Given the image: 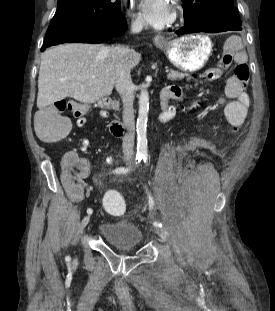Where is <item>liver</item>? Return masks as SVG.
I'll list each match as a JSON object with an SVG mask.
<instances>
[{"label": "liver", "instance_id": "6515ba94", "mask_svg": "<svg viewBox=\"0 0 275 311\" xmlns=\"http://www.w3.org/2000/svg\"><path fill=\"white\" fill-rule=\"evenodd\" d=\"M112 47L72 43L46 50L38 77L37 107L43 110L66 97L91 104L109 96L116 82ZM141 54L131 50L129 64L136 67Z\"/></svg>", "mask_w": 275, "mask_h": 311}]
</instances>
